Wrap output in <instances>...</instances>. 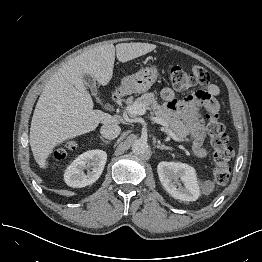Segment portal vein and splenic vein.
Here are the masks:
<instances>
[{"label":"portal vein and splenic vein","instance_id":"portal-vein-and-splenic-vein-1","mask_svg":"<svg viewBox=\"0 0 262 262\" xmlns=\"http://www.w3.org/2000/svg\"><path fill=\"white\" fill-rule=\"evenodd\" d=\"M147 107L143 104H133V105H128L124 108V114L136 116V115H143L146 113ZM150 119L157 124H161L164 127H162V131H165L174 141L176 142H181V140L167 127L165 122L155 116H150Z\"/></svg>","mask_w":262,"mask_h":262}]
</instances>
